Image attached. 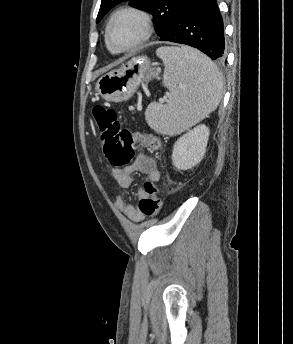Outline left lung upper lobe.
Returning a JSON list of instances; mask_svg holds the SVG:
<instances>
[{
    "instance_id": "5c2ea615",
    "label": "left lung upper lobe",
    "mask_w": 293,
    "mask_h": 344,
    "mask_svg": "<svg viewBox=\"0 0 293 344\" xmlns=\"http://www.w3.org/2000/svg\"><path fill=\"white\" fill-rule=\"evenodd\" d=\"M124 1H128L130 6L151 13L156 32L162 38L174 25L187 0H101L96 22L98 23L111 8Z\"/></svg>"
}]
</instances>
